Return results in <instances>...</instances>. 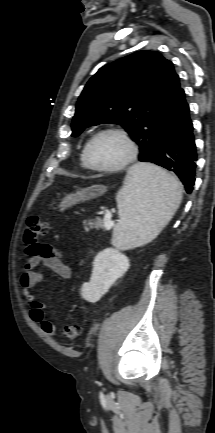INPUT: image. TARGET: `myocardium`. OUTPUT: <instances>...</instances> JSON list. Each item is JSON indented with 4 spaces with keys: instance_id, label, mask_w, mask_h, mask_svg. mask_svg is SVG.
Instances as JSON below:
<instances>
[{
    "instance_id": "myocardium-1",
    "label": "myocardium",
    "mask_w": 215,
    "mask_h": 433,
    "mask_svg": "<svg viewBox=\"0 0 215 433\" xmlns=\"http://www.w3.org/2000/svg\"><path fill=\"white\" fill-rule=\"evenodd\" d=\"M105 134H116V135L120 136L125 141V143L127 145V148H128L127 156L118 165L111 166V167H99V166L94 165L90 160L89 151H90L92 144L94 143V141L97 138H99L100 136L105 135ZM137 153H138V147H137V144H136L135 140L133 139V137L130 135V133L128 131H126L123 128H119V127H108V128H104L102 130H99L89 139V141L86 143V145L84 147V151H83L84 160H85V163L88 166V168H90L94 171L105 172V173H117V172L123 171L124 169H126L128 166H130L134 162V160L137 157Z\"/></svg>"
}]
</instances>
